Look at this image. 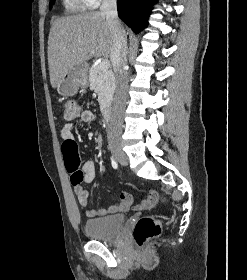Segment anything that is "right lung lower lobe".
Masks as SVG:
<instances>
[{
    "instance_id": "right-lung-lower-lobe-1",
    "label": "right lung lower lobe",
    "mask_w": 247,
    "mask_h": 280,
    "mask_svg": "<svg viewBox=\"0 0 247 280\" xmlns=\"http://www.w3.org/2000/svg\"><path fill=\"white\" fill-rule=\"evenodd\" d=\"M154 0H117L119 17L139 33L147 26V19Z\"/></svg>"
}]
</instances>
